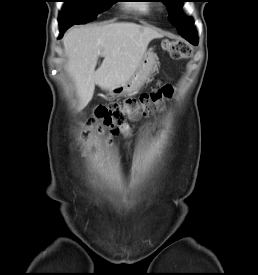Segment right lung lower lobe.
Here are the masks:
<instances>
[{
  "instance_id": "obj_1",
  "label": "right lung lower lobe",
  "mask_w": 258,
  "mask_h": 275,
  "mask_svg": "<svg viewBox=\"0 0 258 275\" xmlns=\"http://www.w3.org/2000/svg\"><path fill=\"white\" fill-rule=\"evenodd\" d=\"M72 24H59V28H60V37L63 36L64 32L71 27Z\"/></svg>"
}]
</instances>
